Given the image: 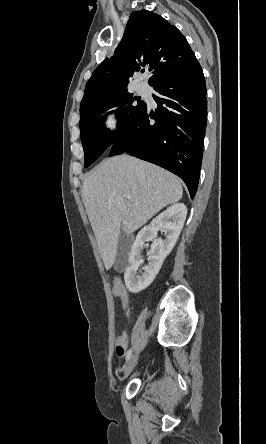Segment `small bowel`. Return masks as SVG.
I'll return each instance as SVG.
<instances>
[{
	"label": "small bowel",
	"mask_w": 266,
	"mask_h": 444,
	"mask_svg": "<svg viewBox=\"0 0 266 444\" xmlns=\"http://www.w3.org/2000/svg\"><path fill=\"white\" fill-rule=\"evenodd\" d=\"M113 287V293L118 296L121 301H122V306L125 310V312L127 313V315H129L130 310H129V297H128V293L127 290L125 288V286L123 285L122 281L120 279H115L113 281L112 284ZM128 340H129V336L127 332H122L117 340H116V351L118 355H123L125 353V349L128 346Z\"/></svg>",
	"instance_id": "small-bowel-1"
}]
</instances>
